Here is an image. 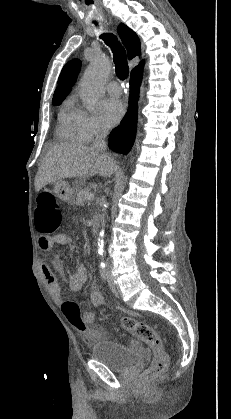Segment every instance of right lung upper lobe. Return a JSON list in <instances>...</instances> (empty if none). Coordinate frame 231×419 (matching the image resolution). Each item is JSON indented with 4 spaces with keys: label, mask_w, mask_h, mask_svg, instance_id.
<instances>
[{
    "label": "right lung upper lobe",
    "mask_w": 231,
    "mask_h": 419,
    "mask_svg": "<svg viewBox=\"0 0 231 419\" xmlns=\"http://www.w3.org/2000/svg\"><path fill=\"white\" fill-rule=\"evenodd\" d=\"M118 33L123 41L124 46L127 49L128 58L132 59L135 56L139 55L141 50V44L136 33L123 23H121L118 26ZM142 65L143 61L133 70L141 67ZM80 68L81 61L79 59H73L63 67L58 79V86L54 92L53 99H63L65 95L68 92H70L72 86L74 85L75 79L80 71Z\"/></svg>",
    "instance_id": "cb5924a9"
}]
</instances>
